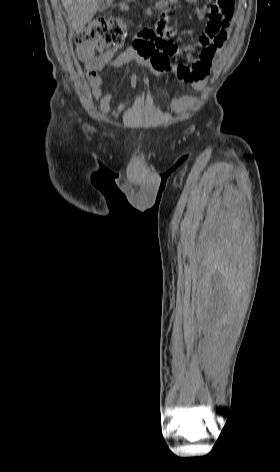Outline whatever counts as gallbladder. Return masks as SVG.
I'll list each match as a JSON object with an SVG mask.
<instances>
[{
    "label": "gallbladder",
    "instance_id": "1",
    "mask_svg": "<svg viewBox=\"0 0 280 472\" xmlns=\"http://www.w3.org/2000/svg\"><path fill=\"white\" fill-rule=\"evenodd\" d=\"M113 3V0H98V10L105 11L108 9Z\"/></svg>",
    "mask_w": 280,
    "mask_h": 472
}]
</instances>
